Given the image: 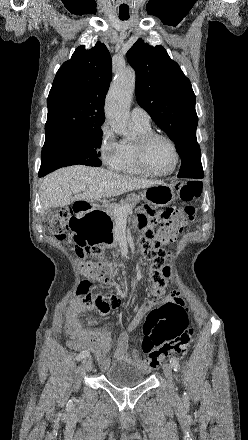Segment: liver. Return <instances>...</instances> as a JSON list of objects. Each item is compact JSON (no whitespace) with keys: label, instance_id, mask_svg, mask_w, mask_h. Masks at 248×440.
Returning <instances> with one entry per match:
<instances>
[{"label":"liver","instance_id":"obj_1","mask_svg":"<svg viewBox=\"0 0 248 440\" xmlns=\"http://www.w3.org/2000/svg\"><path fill=\"white\" fill-rule=\"evenodd\" d=\"M158 184L161 182L119 175L103 168L84 165L61 168L42 180L40 186L42 214L51 207H64L74 201L115 197ZM78 189L81 190L74 192Z\"/></svg>","mask_w":248,"mask_h":440}]
</instances>
